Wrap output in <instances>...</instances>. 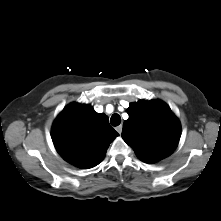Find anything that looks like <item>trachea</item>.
I'll use <instances>...</instances> for the list:
<instances>
[{
	"label": "trachea",
	"mask_w": 221,
	"mask_h": 221,
	"mask_svg": "<svg viewBox=\"0 0 221 221\" xmlns=\"http://www.w3.org/2000/svg\"><path fill=\"white\" fill-rule=\"evenodd\" d=\"M110 123L112 126H118L121 123V117L119 114H113L110 119Z\"/></svg>",
	"instance_id": "obj_1"
}]
</instances>
